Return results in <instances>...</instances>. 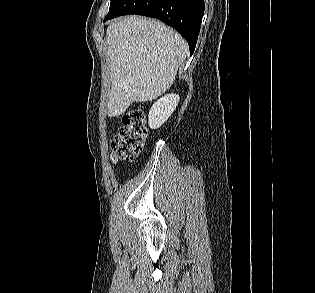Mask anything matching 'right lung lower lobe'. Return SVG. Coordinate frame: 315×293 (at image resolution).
Returning <instances> with one entry per match:
<instances>
[{
    "label": "right lung lower lobe",
    "instance_id": "1",
    "mask_svg": "<svg viewBox=\"0 0 315 293\" xmlns=\"http://www.w3.org/2000/svg\"><path fill=\"white\" fill-rule=\"evenodd\" d=\"M204 7V0H113L104 22L127 14L157 18L176 29L186 39L192 55Z\"/></svg>",
    "mask_w": 315,
    "mask_h": 293
}]
</instances>
